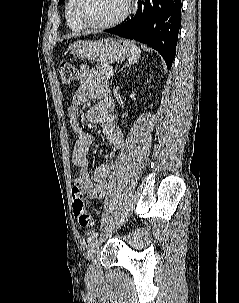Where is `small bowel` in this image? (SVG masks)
I'll use <instances>...</instances> for the list:
<instances>
[{
    "label": "small bowel",
    "instance_id": "c3829d8e",
    "mask_svg": "<svg viewBox=\"0 0 239 303\" xmlns=\"http://www.w3.org/2000/svg\"><path fill=\"white\" fill-rule=\"evenodd\" d=\"M90 100L97 102L87 113L88 122L100 123L107 141L119 149L124 137L114 121L113 101L109 95L108 83L98 70L82 65L80 84L72 96L69 109V121L75 138L71 159L77 169L74 188L90 199H103L109 188L110 166L106 163L98 165L91 179L87 155L94 138L82 129L78 117V109Z\"/></svg>",
    "mask_w": 239,
    "mask_h": 303
}]
</instances>
